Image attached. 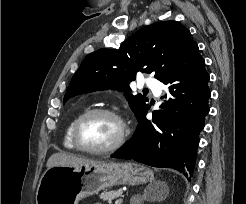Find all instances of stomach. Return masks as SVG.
Masks as SVG:
<instances>
[{
	"instance_id": "obj_1",
	"label": "stomach",
	"mask_w": 246,
	"mask_h": 204,
	"mask_svg": "<svg viewBox=\"0 0 246 204\" xmlns=\"http://www.w3.org/2000/svg\"><path fill=\"white\" fill-rule=\"evenodd\" d=\"M153 180L148 167L132 162L54 166L39 181L36 204H78L81 199L116 185H139Z\"/></svg>"
}]
</instances>
